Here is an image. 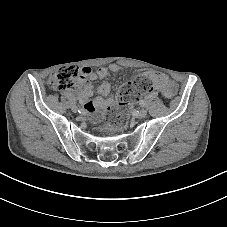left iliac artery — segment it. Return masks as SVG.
Listing matches in <instances>:
<instances>
[{"label": "left iliac artery", "mask_w": 227, "mask_h": 227, "mask_svg": "<svg viewBox=\"0 0 227 227\" xmlns=\"http://www.w3.org/2000/svg\"><path fill=\"white\" fill-rule=\"evenodd\" d=\"M139 104H140L141 107H145V101L144 100H140Z\"/></svg>", "instance_id": "obj_1"}]
</instances>
